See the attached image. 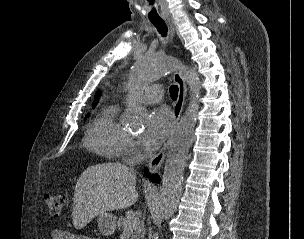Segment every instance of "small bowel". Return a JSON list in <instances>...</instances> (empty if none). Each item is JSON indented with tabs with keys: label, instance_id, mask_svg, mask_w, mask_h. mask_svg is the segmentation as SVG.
Here are the masks:
<instances>
[{
	"label": "small bowel",
	"instance_id": "obj_1",
	"mask_svg": "<svg viewBox=\"0 0 304 239\" xmlns=\"http://www.w3.org/2000/svg\"><path fill=\"white\" fill-rule=\"evenodd\" d=\"M52 239H73L75 235L63 229H54L52 231Z\"/></svg>",
	"mask_w": 304,
	"mask_h": 239
}]
</instances>
